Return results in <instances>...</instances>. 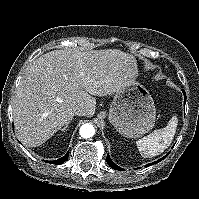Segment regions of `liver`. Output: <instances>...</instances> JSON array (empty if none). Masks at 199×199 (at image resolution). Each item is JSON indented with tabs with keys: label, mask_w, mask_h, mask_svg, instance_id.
<instances>
[{
	"label": "liver",
	"mask_w": 199,
	"mask_h": 199,
	"mask_svg": "<svg viewBox=\"0 0 199 199\" xmlns=\"http://www.w3.org/2000/svg\"><path fill=\"white\" fill-rule=\"evenodd\" d=\"M137 74L135 58L116 49L54 50L40 56L26 69L13 100L18 139L31 148L43 144L73 118L77 106L92 117L93 96L116 93Z\"/></svg>",
	"instance_id": "liver-1"
}]
</instances>
